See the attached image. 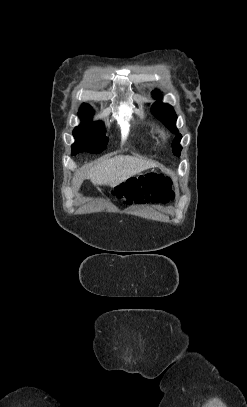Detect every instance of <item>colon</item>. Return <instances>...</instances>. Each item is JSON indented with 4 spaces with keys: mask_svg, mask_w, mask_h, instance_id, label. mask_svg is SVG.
Here are the masks:
<instances>
[{
    "mask_svg": "<svg viewBox=\"0 0 247 407\" xmlns=\"http://www.w3.org/2000/svg\"><path fill=\"white\" fill-rule=\"evenodd\" d=\"M114 194L128 204L166 203L174 198L171 179L161 174L132 178L117 186Z\"/></svg>",
    "mask_w": 247,
    "mask_h": 407,
    "instance_id": "colon-1",
    "label": "colon"
}]
</instances>
